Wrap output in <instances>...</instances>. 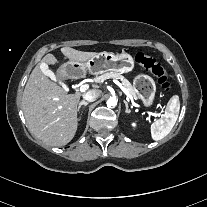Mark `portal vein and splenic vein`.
Segmentation results:
<instances>
[{
	"instance_id": "1",
	"label": "portal vein and splenic vein",
	"mask_w": 207,
	"mask_h": 207,
	"mask_svg": "<svg viewBox=\"0 0 207 207\" xmlns=\"http://www.w3.org/2000/svg\"><path fill=\"white\" fill-rule=\"evenodd\" d=\"M93 81H98V78H96V79H85V80L81 81L78 85H76L75 87H80V90L82 92H84L89 88V85L85 84V83L93 82ZM63 87H64L65 90L68 89L66 85H64ZM85 97H90V95H85Z\"/></svg>"
}]
</instances>
